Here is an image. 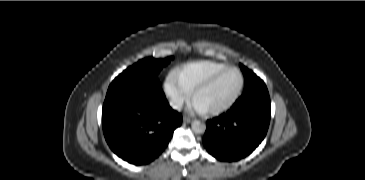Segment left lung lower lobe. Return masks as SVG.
Returning a JSON list of instances; mask_svg holds the SVG:
<instances>
[{"label": "left lung lower lobe", "mask_w": 365, "mask_h": 180, "mask_svg": "<svg viewBox=\"0 0 365 180\" xmlns=\"http://www.w3.org/2000/svg\"><path fill=\"white\" fill-rule=\"evenodd\" d=\"M270 111L266 85L244 92L226 113L207 121L203 137L206 150L222 161L246 157L264 139Z\"/></svg>", "instance_id": "0a47b994"}]
</instances>
